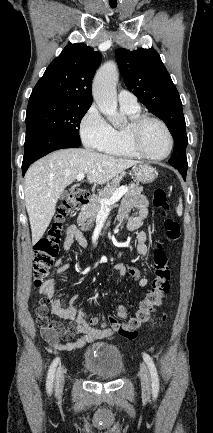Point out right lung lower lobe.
<instances>
[{
	"label": "right lung lower lobe",
	"mask_w": 213,
	"mask_h": 433,
	"mask_svg": "<svg viewBox=\"0 0 213 433\" xmlns=\"http://www.w3.org/2000/svg\"><path fill=\"white\" fill-rule=\"evenodd\" d=\"M79 146L80 144L50 131L38 130L33 133H27L22 163V174H25L28 167L35 160L52 151L63 148H78Z\"/></svg>",
	"instance_id": "obj_1"
}]
</instances>
